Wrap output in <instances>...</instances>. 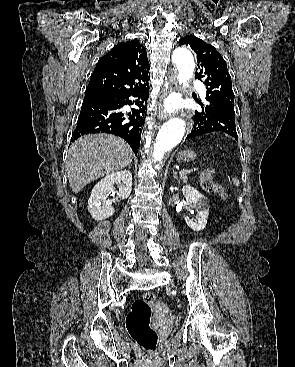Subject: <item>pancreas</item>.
<instances>
[{
	"label": "pancreas",
	"instance_id": "cf45deb5",
	"mask_svg": "<svg viewBox=\"0 0 295 367\" xmlns=\"http://www.w3.org/2000/svg\"><path fill=\"white\" fill-rule=\"evenodd\" d=\"M180 179L185 183L187 182V177L185 175L180 176Z\"/></svg>",
	"mask_w": 295,
	"mask_h": 367
}]
</instances>
